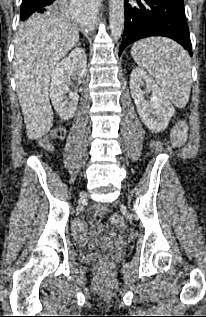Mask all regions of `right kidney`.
<instances>
[{
	"label": "right kidney",
	"instance_id": "ca27d5eb",
	"mask_svg": "<svg viewBox=\"0 0 206 317\" xmlns=\"http://www.w3.org/2000/svg\"><path fill=\"white\" fill-rule=\"evenodd\" d=\"M87 59L83 49L76 48L57 64L52 73L50 98L55 111L61 119H71L76 111L79 96L68 89L70 78L76 74L84 77L87 73ZM69 93V98L65 96Z\"/></svg>",
	"mask_w": 206,
	"mask_h": 317
}]
</instances>
